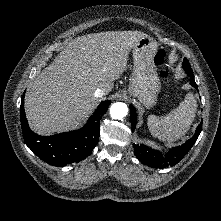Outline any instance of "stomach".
Segmentation results:
<instances>
[{
    "label": "stomach",
    "mask_w": 221,
    "mask_h": 221,
    "mask_svg": "<svg viewBox=\"0 0 221 221\" xmlns=\"http://www.w3.org/2000/svg\"><path fill=\"white\" fill-rule=\"evenodd\" d=\"M156 41L148 35L141 38L133 48L134 67L128 86V94L140 100L146 107L156 104L161 83L154 65Z\"/></svg>",
    "instance_id": "1"
}]
</instances>
